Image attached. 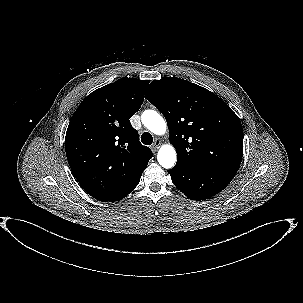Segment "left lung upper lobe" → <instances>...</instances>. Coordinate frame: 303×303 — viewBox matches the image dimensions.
<instances>
[{"mask_svg":"<svg viewBox=\"0 0 303 303\" xmlns=\"http://www.w3.org/2000/svg\"><path fill=\"white\" fill-rule=\"evenodd\" d=\"M147 99L165 116L177 164L239 169L242 124L218 96L189 81L165 77L151 82Z\"/></svg>","mask_w":303,"mask_h":303,"instance_id":"left-lung-upper-lobe-1","label":"left lung upper lobe"}]
</instances>
